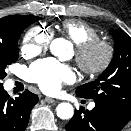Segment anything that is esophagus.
I'll list each match as a JSON object with an SVG mask.
<instances>
[{
    "label": "esophagus",
    "mask_w": 131,
    "mask_h": 131,
    "mask_svg": "<svg viewBox=\"0 0 131 131\" xmlns=\"http://www.w3.org/2000/svg\"><path fill=\"white\" fill-rule=\"evenodd\" d=\"M44 100H45L47 103H53V102H55V99L50 98V97H46Z\"/></svg>",
    "instance_id": "34e87169"
}]
</instances>
